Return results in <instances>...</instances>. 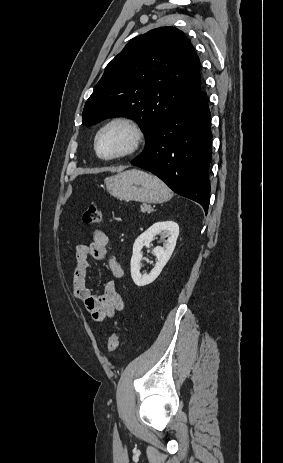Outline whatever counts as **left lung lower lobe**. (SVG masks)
I'll list each match as a JSON object with an SVG mask.
<instances>
[{
  "label": "left lung lower lobe",
  "mask_w": 283,
  "mask_h": 463,
  "mask_svg": "<svg viewBox=\"0 0 283 463\" xmlns=\"http://www.w3.org/2000/svg\"><path fill=\"white\" fill-rule=\"evenodd\" d=\"M211 114L201 89L168 116L131 163L150 171L207 213L212 158Z\"/></svg>",
  "instance_id": "left-lung-lower-lobe-1"
}]
</instances>
